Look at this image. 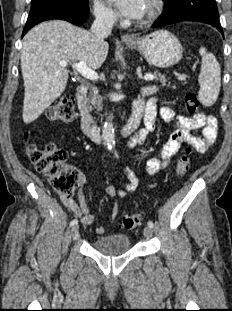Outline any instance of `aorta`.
Instances as JSON below:
<instances>
[{
    "instance_id": "1",
    "label": "aorta",
    "mask_w": 232,
    "mask_h": 311,
    "mask_svg": "<svg viewBox=\"0 0 232 311\" xmlns=\"http://www.w3.org/2000/svg\"><path fill=\"white\" fill-rule=\"evenodd\" d=\"M112 120L113 115H109L102 128V139L108 150H112L116 143Z\"/></svg>"
}]
</instances>
